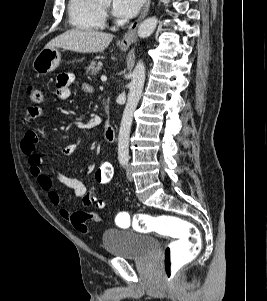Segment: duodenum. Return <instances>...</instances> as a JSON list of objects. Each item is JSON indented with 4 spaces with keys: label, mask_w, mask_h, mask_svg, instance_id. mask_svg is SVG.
Returning a JSON list of instances; mask_svg holds the SVG:
<instances>
[{
    "label": "duodenum",
    "mask_w": 267,
    "mask_h": 301,
    "mask_svg": "<svg viewBox=\"0 0 267 301\" xmlns=\"http://www.w3.org/2000/svg\"><path fill=\"white\" fill-rule=\"evenodd\" d=\"M103 108L105 112L108 114L109 111V103L106 100H103ZM104 136L108 142H114L116 138V132L113 126L110 125L108 119L105 120L104 123Z\"/></svg>",
    "instance_id": "duodenum-1"
}]
</instances>
